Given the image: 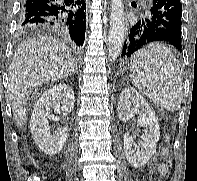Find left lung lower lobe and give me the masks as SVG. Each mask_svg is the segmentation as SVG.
<instances>
[{"mask_svg":"<svg viewBox=\"0 0 197 181\" xmlns=\"http://www.w3.org/2000/svg\"><path fill=\"white\" fill-rule=\"evenodd\" d=\"M181 14L180 0H152L150 8L129 30L121 57H129L152 42H166L181 51Z\"/></svg>","mask_w":197,"mask_h":181,"instance_id":"obj_1","label":"left lung lower lobe"}]
</instances>
